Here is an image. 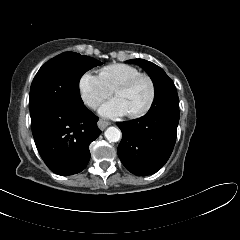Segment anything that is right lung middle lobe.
Instances as JSON below:
<instances>
[{"label": "right lung middle lobe", "instance_id": "1", "mask_svg": "<svg viewBox=\"0 0 240 240\" xmlns=\"http://www.w3.org/2000/svg\"><path fill=\"white\" fill-rule=\"evenodd\" d=\"M98 60L75 52H65L46 62L38 71L30 90V115L39 114L54 106H79L81 75Z\"/></svg>", "mask_w": 240, "mask_h": 240}]
</instances>
